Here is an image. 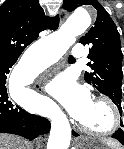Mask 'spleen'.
Masks as SVG:
<instances>
[{
	"label": "spleen",
	"mask_w": 124,
	"mask_h": 149,
	"mask_svg": "<svg viewBox=\"0 0 124 149\" xmlns=\"http://www.w3.org/2000/svg\"><path fill=\"white\" fill-rule=\"evenodd\" d=\"M113 144H114V147L117 149V147H116L115 143H113Z\"/></svg>",
	"instance_id": "obj_1"
}]
</instances>
